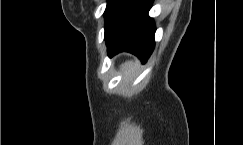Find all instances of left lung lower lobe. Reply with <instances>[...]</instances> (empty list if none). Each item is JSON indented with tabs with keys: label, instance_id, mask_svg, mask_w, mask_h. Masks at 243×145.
Listing matches in <instances>:
<instances>
[{
	"label": "left lung lower lobe",
	"instance_id": "1",
	"mask_svg": "<svg viewBox=\"0 0 243 145\" xmlns=\"http://www.w3.org/2000/svg\"><path fill=\"white\" fill-rule=\"evenodd\" d=\"M152 0H130L105 34L108 55L121 51L136 55L143 63L154 49L155 25L148 12Z\"/></svg>",
	"mask_w": 243,
	"mask_h": 145
}]
</instances>
